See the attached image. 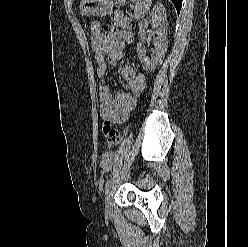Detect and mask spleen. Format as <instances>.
<instances>
[{"instance_id": "1", "label": "spleen", "mask_w": 248, "mask_h": 247, "mask_svg": "<svg viewBox=\"0 0 248 247\" xmlns=\"http://www.w3.org/2000/svg\"><path fill=\"white\" fill-rule=\"evenodd\" d=\"M135 2L134 18L141 19L146 16L152 4V0H132Z\"/></svg>"}]
</instances>
